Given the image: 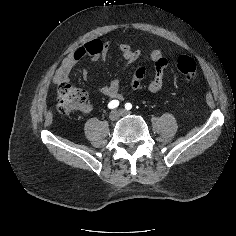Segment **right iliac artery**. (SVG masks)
<instances>
[{
	"label": "right iliac artery",
	"mask_w": 236,
	"mask_h": 236,
	"mask_svg": "<svg viewBox=\"0 0 236 236\" xmlns=\"http://www.w3.org/2000/svg\"><path fill=\"white\" fill-rule=\"evenodd\" d=\"M118 105H119L118 100H112V101L109 102L108 108L109 109H114V108L118 107Z\"/></svg>",
	"instance_id": "1"
}]
</instances>
